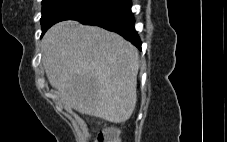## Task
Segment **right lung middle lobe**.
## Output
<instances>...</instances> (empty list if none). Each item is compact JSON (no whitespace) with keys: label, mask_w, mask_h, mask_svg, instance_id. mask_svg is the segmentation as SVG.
<instances>
[{"label":"right lung middle lobe","mask_w":227,"mask_h":142,"mask_svg":"<svg viewBox=\"0 0 227 142\" xmlns=\"http://www.w3.org/2000/svg\"><path fill=\"white\" fill-rule=\"evenodd\" d=\"M113 0H43L41 25L43 33L53 24L98 10Z\"/></svg>","instance_id":"dd1d6c3e"}]
</instances>
